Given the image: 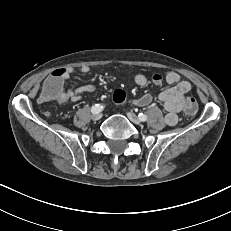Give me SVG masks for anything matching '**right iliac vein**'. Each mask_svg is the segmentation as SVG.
Here are the masks:
<instances>
[{
	"instance_id": "right-iliac-vein-1",
	"label": "right iliac vein",
	"mask_w": 231,
	"mask_h": 231,
	"mask_svg": "<svg viewBox=\"0 0 231 231\" xmlns=\"http://www.w3.org/2000/svg\"><path fill=\"white\" fill-rule=\"evenodd\" d=\"M101 117H102L101 113L92 114V116H91L92 120H94V121L101 119Z\"/></svg>"
}]
</instances>
